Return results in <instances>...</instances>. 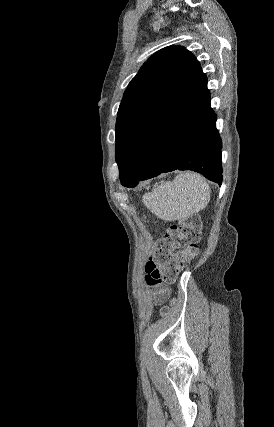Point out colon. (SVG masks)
<instances>
[{
	"label": "colon",
	"mask_w": 274,
	"mask_h": 427,
	"mask_svg": "<svg viewBox=\"0 0 274 427\" xmlns=\"http://www.w3.org/2000/svg\"><path fill=\"white\" fill-rule=\"evenodd\" d=\"M199 238L200 220L197 215H193L171 224L164 231L161 237V248H182V254H190L193 259L198 254ZM162 316L169 317L170 311L163 310Z\"/></svg>",
	"instance_id": "obj_1"
}]
</instances>
